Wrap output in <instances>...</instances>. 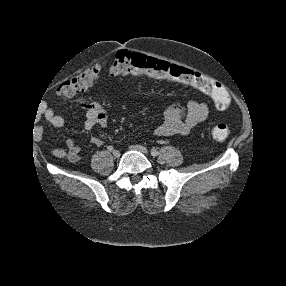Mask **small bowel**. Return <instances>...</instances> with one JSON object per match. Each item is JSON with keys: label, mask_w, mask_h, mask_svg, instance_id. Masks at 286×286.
<instances>
[{"label": "small bowel", "mask_w": 286, "mask_h": 286, "mask_svg": "<svg viewBox=\"0 0 286 286\" xmlns=\"http://www.w3.org/2000/svg\"><path fill=\"white\" fill-rule=\"evenodd\" d=\"M181 83L192 85L185 82ZM82 106L86 111L84 120L85 129L90 130L95 126L105 128L107 126L108 117L101 104L98 102H84ZM44 116L54 127L63 126L66 121L64 116L57 114L53 109H47ZM207 116L208 106L205 102L197 99H189L185 106L177 105L169 108L164 114V121L155 128L154 133L161 137L187 135L203 122ZM90 143L95 146H101L103 139L97 136L91 137ZM66 147V151L55 150L54 154L60 157L66 156L72 163L78 162L80 160V147L73 139L66 140Z\"/></svg>", "instance_id": "c3829d8e"}]
</instances>
